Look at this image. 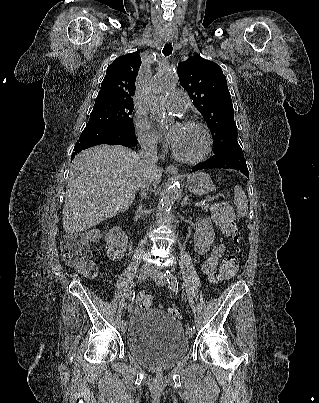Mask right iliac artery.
<instances>
[{"label": "right iliac artery", "instance_id": "82829eb1", "mask_svg": "<svg viewBox=\"0 0 319 403\" xmlns=\"http://www.w3.org/2000/svg\"><path fill=\"white\" fill-rule=\"evenodd\" d=\"M128 297H129V300H130V301H131V300L133 301L134 298H135V292L131 291ZM121 323L123 324V323H124V320H122Z\"/></svg>", "mask_w": 319, "mask_h": 403}]
</instances>
